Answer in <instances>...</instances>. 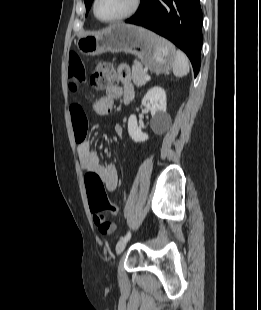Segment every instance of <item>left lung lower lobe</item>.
<instances>
[{
  "instance_id": "obj_1",
  "label": "left lung lower lobe",
  "mask_w": 261,
  "mask_h": 310,
  "mask_svg": "<svg viewBox=\"0 0 261 310\" xmlns=\"http://www.w3.org/2000/svg\"><path fill=\"white\" fill-rule=\"evenodd\" d=\"M125 22L148 28L172 41L187 54L197 76L202 48L200 0H141L136 14Z\"/></svg>"
}]
</instances>
